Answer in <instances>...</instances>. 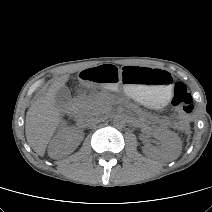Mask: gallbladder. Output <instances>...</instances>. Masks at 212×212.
<instances>
[{"label": "gallbladder", "mask_w": 212, "mask_h": 212, "mask_svg": "<svg viewBox=\"0 0 212 212\" xmlns=\"http://www.w3.org/2000/svg\"><path fill=\"white\" fill-rule=\"evenodd\" d=\"M71 99V92L66 86H62L55 95V103L60 108H64Z\"/></svg>", "instance_id": "obj_1"}]
</instances>
